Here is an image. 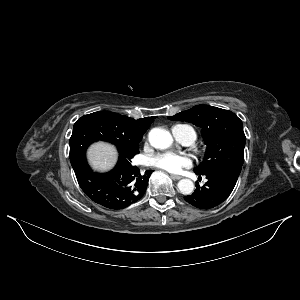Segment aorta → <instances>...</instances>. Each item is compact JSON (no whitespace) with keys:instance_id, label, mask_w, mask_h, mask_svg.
<instances>
[{"instance_id":"762f6f07","label":"aorta","mask_w":300,"mask_h":300,"mask_svg":"<svg viewBox=\"0 0 300 300\" xmlns=\"http://www.w3.org/2000/svg\"><path fill=\"white\" fill-rule=\"evenodd\" d=\"M150 144L157 149H166L172 144L171 134L162 128H153L149 132ZM178 189L184 195H190L194 191V183L190 179H181L178 182Z\"/></svg>"}]
</instances>
